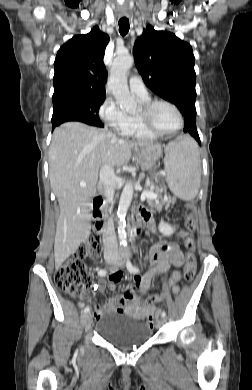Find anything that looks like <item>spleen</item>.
<instances>
[{
	"instance_id": "1",
	"label": "spleen",
	"mask_w": 252,
	"mask_h": 390,
	"mask_svg": "<svg viewBox=\"0 0 252 390\" xmlns=\"http://www.w3.org/2000/svg\"><path fill=\"white\" fill-rule=\"evenodd\" d=\"M166 182L173 194L182 200H193L200 187L201 168L197 144L180 136L166 147L164 158Z\"/></svg>"
}]
</instances>
